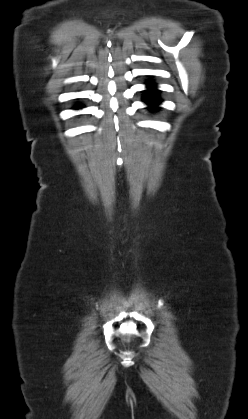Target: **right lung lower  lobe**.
<instances>
[{
    "label": "right lung lower lobe",
    "mask_w": 248,
    "mask_h": 419,
    "mask_svg": "<svg viewBox=\"0 0 248 419\" xmlns=\"http://www.w3.org/2000/svg\"><path fill=\"white\" fill-rule=\"evenodd\" d=\"M76 108H77V109H78V108H81V106H79V107H76Z\"/></svg>",
    "instance_id": "obj_1"
}]
</instances>
